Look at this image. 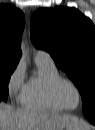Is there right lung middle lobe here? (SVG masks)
<instances>
[{
	"label": "right lung middle lobe",
	"instance_id": "right-lung-middle-lobe-1",
	"mask_svg": "<svg viewBox=\"0 0 95 130\" xmlns=\"http://www.w3.org/2000/svg\"><path fill=\"white\" fill-rule=\"evenodd\" d=\"M15 68V65H0V101H7L8 83Z\"/></svg>",
	"mask_w": 95,
	"mask_h": 130
}]
</instances>
